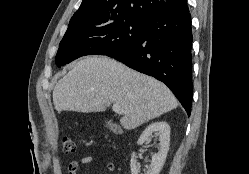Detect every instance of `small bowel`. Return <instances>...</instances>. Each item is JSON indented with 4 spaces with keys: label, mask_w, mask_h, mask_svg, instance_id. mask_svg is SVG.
I'll list each match as a JSON object with an SVG mask.
<instances>
[{
    "label": "small bowel",
    "mask_w": 249,
    "mask_h": 174,
    "mask_svg": "<svg viewBox=\"0 0 249 174\" xmlns=\"http://www.w3.org/2000/svg\"><path fill=\"white\" fill-rule=\"evenodd\" d=\"M99 161H101V159L93 155L84 156L80 160L71 161L68 165V174H78L81 165H88ZM104 165L110 172L115 170L114 164L110 161H105Z\"/></svg>",
    "instance_id": "1"
}]
</instances>
